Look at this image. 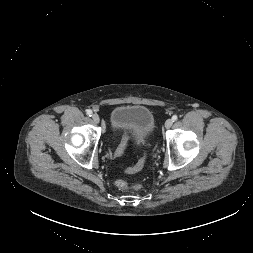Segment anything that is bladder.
Wrapping results in <instances>:
<instances>
[{
    "label": "bladder",
    "instance_id": "31cf9c89",
    "mask_svg": "<svg viewBox=\"0 0 253 253\" xmlns=\"http://www.w3.org/2000/svg\"><path fill=\"white\" fill-rule=\"evenodd\" d=\"M155 118L144 105L124 104L113 109L110 115V128L114 138L127 133L138 146L150 144L155 133Z\"/></svg>",
    "mask_w": 253,
    "mask_h": 253
}]
</instances>
